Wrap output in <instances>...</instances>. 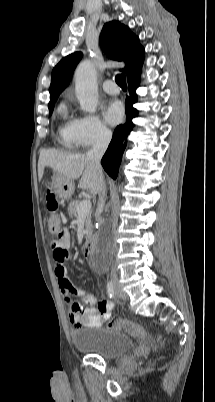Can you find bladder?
Listing matches in <instances>:
<instances>
[{
  "label": "bladder",
  "mask_w": 215,
  "mask_h": 402,
  "mask_svg": "<svg viewBox=\"0 0 215 402\" xmlns=\"http://www.w3.org/2000/svg\"><path fill=\"white\" fill-rule=\"evenodd\" d=\"M77 351L102 359H114L127 353L133 346L132 339L111 328H85L72 333Z\"/></svg>",
  "instance_id": "31cf9c89"
}]
</instances>
